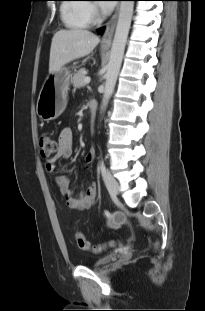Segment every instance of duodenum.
I'll return each mask as SVG.
<instances>
[{"mask_svg":"<svg viewBox=\"0 0 205 311\" xmlns=\"http://www.w3.org/2000/svg\"><path fill=\"white\" fill-rule=\"evenodd\" d=\"M96 109H97V103H96L95 101H92V102L90 103V110H91L92 112H94V111H96Z\"/></svg>","mask_w":205,"mask_h":311,"instance_id":"410a0bca","label":"duodenum"}]
</instances>
